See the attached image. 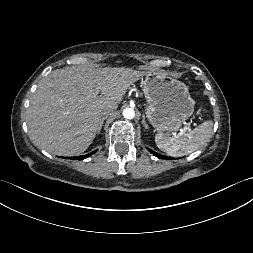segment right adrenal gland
<instances>
[{
  "label": "right adrenal gland",
  "instance_id": "1",
  "mask_svg": "<svg viewBox=\"0 0 253 253\" xmlns=\"http://www.w3.org/2000/svg\"><path fill=\"white\" fill-rule=\"evenodd\" d=\"M105 119H107V116H104V117L102 118L101 123H100V126H99V129H98V133H100V130H101L102 126H103V123H104V120H105Z\"/></svg>",
  "mask_w": 253,
  "mask_h": 253
}]
</instances>
